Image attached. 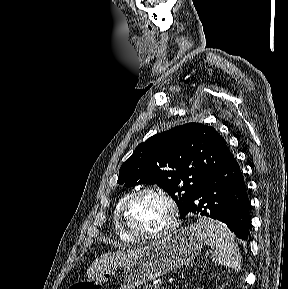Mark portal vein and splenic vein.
Segmentation results:
<instances>
[{"label":"portal vein and splenic vein","instance_id":"portal-vein-and-splenic-vein-1","mask_svg":"<svg viewBox=\"0 0 288 289\" xmlns=\"http://www.w3.org/2000/svg\"><path fill=\"white\" fill-rule=\"evenodd\" d=\"M160 288L164 289V287H162L160 284L155 286V289H160Z\"/></svg>","mask_w":288,"mask_h":289}]
</instances>
